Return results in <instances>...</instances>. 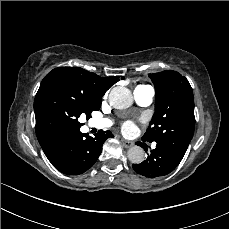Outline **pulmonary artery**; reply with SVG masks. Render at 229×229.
<instances>
[{"instance_id":"e3ab8cb5","label":"pulmonary artery","mask_w":229,"mask_h":229,"mask_svg":"<svg viewBox=\"0 0 229 229\" xmlns=\"http://www.w3.org/2000/svg\"><path fill=\"white\" fill-rule=\"evenodd\" d=\"M134 100L140 106H149L153 102L154 91L149 85H139L134 91ZM91 125L98 129H105L109 126V122L106 120H92Z\"/></svg>"}]
</instances>
